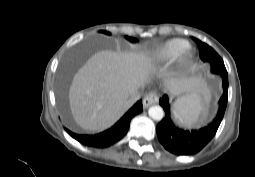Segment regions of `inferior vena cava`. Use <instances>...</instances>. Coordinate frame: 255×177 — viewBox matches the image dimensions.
Wrapping results in <instances>:
<instances>
[{
    "label": "inferior vena cava",
    "mask_w": 255,
    "mask_h": 177,
    "mask_svg": "<svg viewBox=\"0 0 255 177\" xmlns=\"http://www.w3.org/2000/svg\"><path fill=\"white\" fill-rule=\"evenodd\" d=\"M140 96H141V94H140L138 91H135V92H133V93L131 94V96L129 97L128 102H129L130 104H133V103H135L137 100H139Z\"/></svg>",
    "instance_id": "602c4592"
}]
</instances>
